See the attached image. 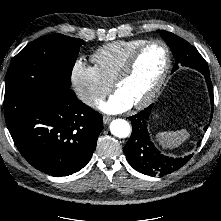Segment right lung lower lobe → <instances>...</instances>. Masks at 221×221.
<instances>
[{
    "label": "right lung lower lobe",
    "mask_w": 221,
    "mask_h": 221,
    "mask_svg": "<svg viewBox=\"0 0 221 221\" xmlns=\"http://www.w3.org/2000/svg\"><path fill=\"white\" fill-rule=\"evenodd\" d=\"M5 120L22 156L36 169L68 176L90 160L103 129L102 115L71 89L49 86L40 94H5Z\"/></svg>",
    "instance_id": "obj_1"
}]
</instances>
